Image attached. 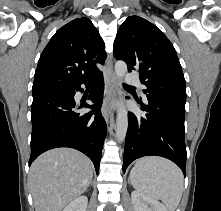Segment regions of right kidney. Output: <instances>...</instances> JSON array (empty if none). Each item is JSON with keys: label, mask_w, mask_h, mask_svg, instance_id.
Returning a JSON list of instances; mask_svg holds the SVG:
<instances>
[{"label": "right kidney", "mask_w": 221, "mask_h": 211, "mask_svg": "<svg viewBox=\"0 0 221 211\" xmlns=\"http://www.w3.org/2000/svg\"><path fill=\"white\" fill-rule=\"evenodd\" d=\"M88 199L86 196H79L68 204L63 211H86Z\"/></svg>", "instance_id": "right-kidney-1"}]
</instances>
